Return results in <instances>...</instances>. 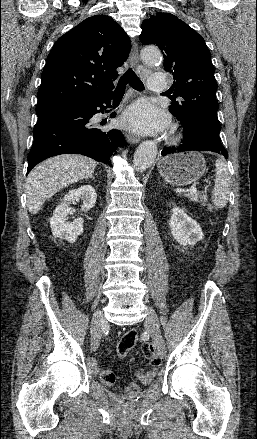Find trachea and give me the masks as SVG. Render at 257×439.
I'll list each match as a JSON object with an SVG mask.
<instances>
[{"mask_svg":"<svg viewBox=\"0 0 257 439\" xmlns=\"http://www.w3.org/2000/svg\"><path fill=\"white\" fill-rule=\"evenodd\" d=\"M127 82L136 90H144V85L135 72L129 68L125 74L118 81L117 87L114 91L115 96H121L125 93Z\"/></svg>","mask_w":257,"mask_h":439,"instance_id":"1","label":"trachea"}]
</instances>
